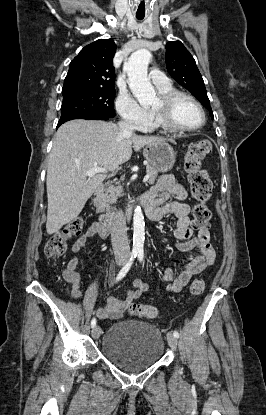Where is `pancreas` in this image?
<instances>
[{"mask_svg":"<svg viewBox=\"0 0 266 415\" xmlns=\"http://www.w3.org/2000/svg\"><path fill=\"white\" fill-rule=\"evenodd\" d=\"M146 173L150 176L148 180L149 184H154L158 176V171L148 164L146 166ZM121 193L122 185L120 182H116V185H109L104 189V193L101 194L97 209L101 212L106 211L107 213H111L114 210V207L111 205L117 202L118 198L121 197Z\"/></svg>","mask_w":266,"mask_h":415,"instance_id":"1","label":"pancreas"}]
</instances>
